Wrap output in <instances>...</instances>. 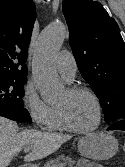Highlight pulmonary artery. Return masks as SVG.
Listing matches in <instances>:
<instances>
[{
  "label": "pulmonary artery",
  "mask_w": 125,
  "mask_h": 167,
  "mask_svg": "<svg viewBox=\"0 0 125 167\" xmlns=\"http://www.w3.org/2000/svg\"><path fill=\"white\" fill-rule=\"evenodd\" d=\"M56 67L59 73L67 80L72 81L76 75L77 64L72 53L61 51L56 57Z\"/></svg>",
  "instance_id": "obj_1"
}]
</instances>
